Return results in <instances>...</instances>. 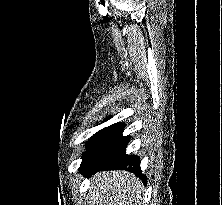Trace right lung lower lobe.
Returning a JSON list of instances; mask_svg holds the SVG:
<instances>
[{
	"label": "right lung lower lobe",
	"instance_id": "98d812e1",
	"mask_svg": "<svg viewBox=\"0 0 222 205\" xmlns=\"http://www.w3.org/2000/svg\"><path fill=\"white\" fill-rule=\"evenodd\" d=\"M123 123H116L94 134L86 143L87 152L79 168L84 176L102 170H127L137 174L146 184V176L140 170V158L126 155L129 136H123Z\"/></svg>",
	"mask_w": 222,
	"mask_h": 205
}]
</instances>
